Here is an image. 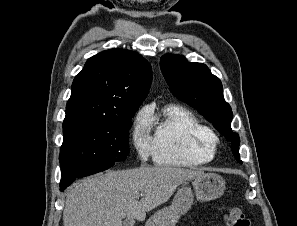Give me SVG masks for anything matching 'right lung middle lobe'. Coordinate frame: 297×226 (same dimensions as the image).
Listing matches in <instances>:
<instances>
[{
    "instance_id": "dd1d6c3e",
    "label": "right lung middle lobe",
    "mask_w": 297,
    "mask_h": 226,
    "mask_svg": "<svg viewBox=\"0 0 297 226\" xmlns=\"http://www.w3.org/2000/svg\"><path fill=\"white\" fill-rule=\"evenodd\" d=\"M139 105L130 106L117 120L78 118L63 122L61 176L94 166H113L129 154L130 121Z\"/></svg>"
}]
</instances>
